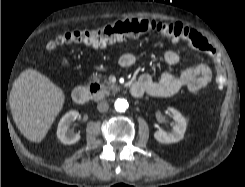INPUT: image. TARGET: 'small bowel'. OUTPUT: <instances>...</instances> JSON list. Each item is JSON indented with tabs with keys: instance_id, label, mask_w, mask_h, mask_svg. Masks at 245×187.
I'll list each match as a JSON object with an SVG mask.
<instances>
[{
	"instance_id": "obj_1",
	"label": "small bowel",
	"mask_w": 245,
	"mask_h": 187,
	"mask_svg": "<svg viewBox=\"0 0 245 187\" xmlns=\"http://www.w3.org/2000/svg\"><path fill=\"white\" fill-rule=\"evenodd\" d=\"M135 61L132 53H124L119 58V64L123 68L132 67ZM164 61L169 66H175L181 61V57L176 51L167 50L164 53ZM211 79V69L206 64H197L185 68L179 75L164 71L158 80H154L149 74H143L137 83L149 96L167 97L176 94L182 88L197 92L207 86Z\"/></svg>"
}]
</instances>
